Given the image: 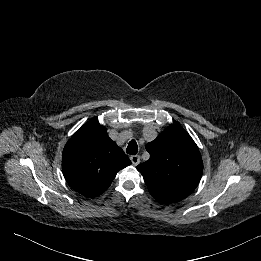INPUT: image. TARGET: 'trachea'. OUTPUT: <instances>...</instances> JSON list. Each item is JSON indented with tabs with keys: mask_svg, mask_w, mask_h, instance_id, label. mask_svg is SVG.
<instances>
[{
	"mask_svg": "<svg viewBox=\"0 0 261 261\" xmlns=\"http://www.w3.org/2000/svg\"><path fill=\"white\" fill-rule=\"evenodd\" d=\"M126 152L130 155H135L138 152V145L135 140H131L127 146Z\"/></svg>",
	"mask_w": 261,
	"mask_h": 261,
	"instance_id": "obj_1",
	"label": "trachea"
}]
</instances>
